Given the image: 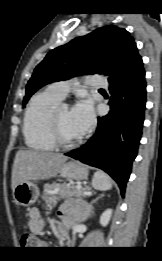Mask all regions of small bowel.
I'll return each instance as SVG.
<instances>
[{
  "mask_svg": "<svg viewBox=\"0 0 162 261\" xmlns=\"http://www.w3.org/2000/svg\"><path fill=\"white\" fill-rule=\"evenodd\" d=\"M64 214V212H62ZM29 222L30 228L34 233H40L44 227V221L41 217L40 211L38 208H32L29 211Z\"/></svg>",
  "mask_w": 162,
  "mask_h": 261,
  "instance_id": "1",
  "label": "small bowel"
}]
</instances>
